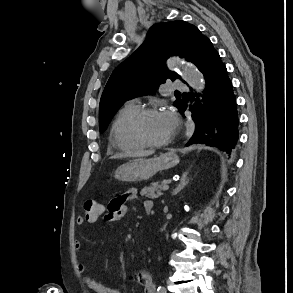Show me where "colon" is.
I'll use <instances>...</instances> for the list:
<instances>
[{"label": "colon", "mask_w": 293, "mask_h": 293, "mask_svg": "<svg viewBox=\"0 0 293 293\" xmlns=\"http://www.w3.org/2000/svg\"><path fill=\"white\" fill-rule=\"evenodd\" d=\"M103 205L97 199H88L84 203V216L89 222H95L103 213Z\"/></svg>", "instance_id": "obj_1"}]
</instances>
